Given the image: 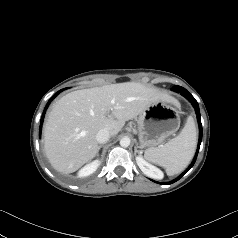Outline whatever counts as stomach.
I'll use <instances>...</instances> for the list:
<instances>
[{
    "label": "stomach",
    "instance_id": "1",
    "mask_svg": "<svg viewBox=\"0 0 238 238\" xmlns=\"http://www.w3.org/2000/svg\"><path fill=\"white\" fill-rule=\"evenodd\" d=\"M180 127L178 110L166 101L150 104L138 118V136L141 147H155L165 142Z\"/></svg>",
    "mask_w": 238,
    "mask_h": 238
}]
</instances>
